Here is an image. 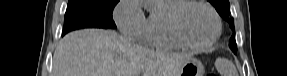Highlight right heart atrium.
Wrapping results in <instances>:
<instances>
[{
  "label": "right heart atrium",
  "mask_w": 287,
  "mask_h": 76,
  "mask_svg": "<svg viewBox=\"0 0 287 76\" xmlns=\"http://www.w3.org/2000/svg\"><path fill=\"white\" fill-rule=\"evenodd\" d=\"M114 21L120 32L135 41H143L147 19L140 0H120L114 9Z\"/></svg>",
  "instance_id": "obj_1"
}]
</instances>
